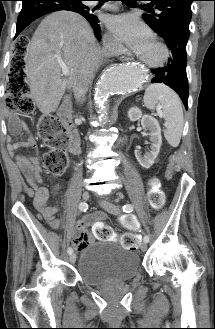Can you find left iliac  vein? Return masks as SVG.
<instances>
[{"mask_svg": "<svg viewBox=\"0 0 215 329\" xmlns=\"http://www.w3.org/2000/svg\"><path fill=\"white\" fill-rule=\"evenodd\" d=\"M99 204L104 210H106L107 212H109L113 215H120V213H121L120 208L110 201L100 200ZM146 249H147V243L143 242L141 244V250L146 251Z\"/></svg>", "mask_w": 215, "mask_h": 329, "instance_id": "left-iliac-vein-1", "label": "left iliac vein"}]
</instances>
